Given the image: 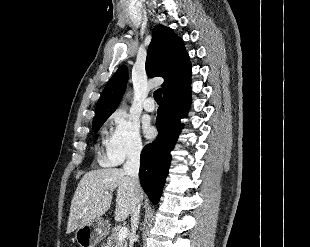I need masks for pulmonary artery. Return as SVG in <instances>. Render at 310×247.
I'll use <instances>...</instances> for the list:
<instances>
[{
    "instance_id": "e3ab8cb5",
    "label": "pulmonary artery",
    "mask_w": 310,
    "mask_h": 247,
    "mask_svg": "<svg viewBox=\"0 0 310 247\" xmlns=\"http://www.w3.org/2000/svg\"><path fill=\"white\" fill-rule=\"evenodd\" d=\"M143 107L146 111L152 112L155 110V103L152 98H147L143 104Z\"/></svg>"
}]
</instances>
